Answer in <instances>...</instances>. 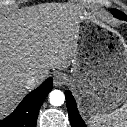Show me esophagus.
<instances>
[{"label":"esophagus","instance_id":"esophagus-1","mask_svg":"<svg viewBox=\"0 0 127 127\" xmlns=\"http://www.w3.org/2000/svg\"><path fill=\"white\" fill-rule=\"evenodd\" d=\"M66 81H67L66 75L62 73H58L55 75L53 83H54V86L60 87L63 84H65Z\"/></svg>","mask_w":127,"mask_h":127}]
</instances>
